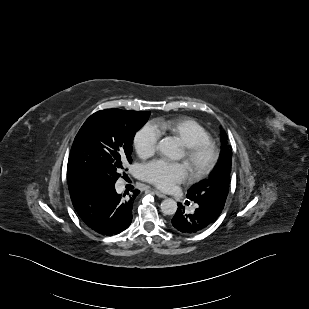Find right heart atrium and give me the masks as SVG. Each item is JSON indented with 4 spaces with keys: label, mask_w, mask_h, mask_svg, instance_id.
<instances>
[{
    "label": "right heart atrium",
    "mask_w": 309,
    "mask_h": 309,
    "mask_svg": "<svg viewBox=\"0 0 309 309\" xmlns=\"http://www.w3.org/2000/svg\"><path fill=\"white\" fill-rule=\"evenodd\" d=\"M160 133L152 123L142 125L133 136V146L140 157L151 156L157 146Z\"/></svg>",
    "instance_id": "d8ad5b80"
}]
</instances>
